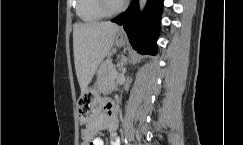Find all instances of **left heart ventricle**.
Listing matches in <instances>:
<instances>
[{"mask_svg": "<svg viewBox=\"0 0 243 145\" xmlns=\"http://www.w3.org/2000/svg\"><path fill=\"white\" fill-rule=\"evenodd\" d=\"M123 0H110V3L112 6H117L119 5Z\"/></svg>", "mask_w": 243, "mask_h": 145, "instance_id": "b2bd125f", "label": "left heart ventricle"}]
</instances>
